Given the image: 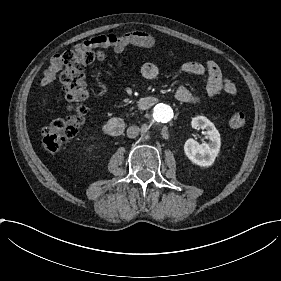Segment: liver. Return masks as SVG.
I'll return each instance as SVG.
<instances>
[{
	"mask_svg": "<svg viewBox=\"0 0 281 281\" xmlns=\"http://www.w3.org/2000/svg\"><path fill=\"white\" fill-rule=\"evenodd\" d=\"M50 95L47 93L42 98V107L46 108L47 104L49 103Z\"/></svg>",
	"mask_w": 281,
	"mask_h": 281,
	"instance_id": "liver-1",
	"label": "liver"
}]
</instances>
